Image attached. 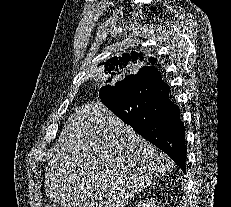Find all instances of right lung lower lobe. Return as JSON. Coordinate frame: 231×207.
<instances>
[{"label": "right lung lower lobe", "mask_w": 231, "mask_h": 207, "mask_svg": "<svg viewBox=\"0 0 231 207\" xmlns=\"http://www.w3.org/2000/svg\"><path fill=\"white\" fill-rule=\"evenodd\" d=\"M170 87L154 66H144L100 96L117 117L165 152L186 173L185 127Z\"/></svg>", "instance_id": "right-lung-lower-lobe-1"}]
</instances>
